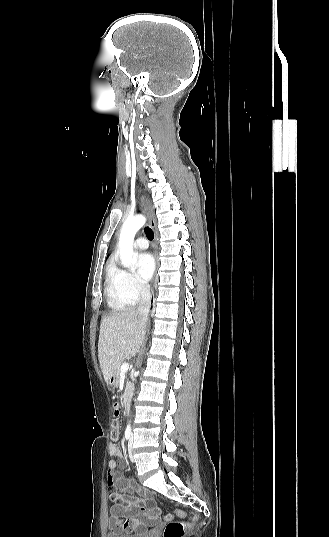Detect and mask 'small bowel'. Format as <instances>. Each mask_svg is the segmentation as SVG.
I'll return each mask as SVG.
<instances>
[{
    "instance_id": "1",
    "label": "small bowel",
    "mask_w": 329,
    "mask_h": 537,
    "mask_svg": "<svg viewBox=\"0 0 329 537\" xmlns=\"http://www.w3.org/2000/svg\"><path fill=\"white\" fill-rule=\"evenodd\" d=\"M112 408V412L118 416L123 405L116 401ZM109 454L118 459L123 458L122 450L116 443H110ZM122 466L115 460L108 462V499L112 505L109 527L115 531L143 533L148 527L158 524L160 511L155 506L150 491L125 477L119 470ZM131 489H135L139 496L133 494Z\"/></svg>"
}]
</instances>
